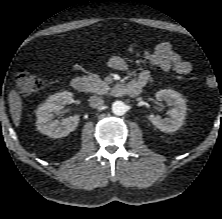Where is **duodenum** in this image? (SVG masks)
<instances>
[{
  "label": "duodenum",
  "mask_w": 222,
  "mask_h": 219,
  "mask_svg": "<svg viewBox=\"0 0 222 219\" xmlns=\"http://www.w3.org/2000/svg\"><path fill=\"white\" fill-rule=\"evenodd\" d=\"M72 88L77 92H85L88 89V81L83 76H76L71 81ZM142 84L139 82L118 83L113 86L112 93L116 96H137L142 90Z\"/></svg>",
  "instance_id": "obj_1"
}]
</instances>
